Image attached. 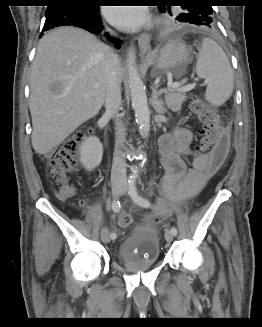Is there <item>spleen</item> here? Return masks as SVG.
I'll use <instances>...</instances> for the list:
<instances>
[{
    "instance_id": "obj_1",
    "label": "spleen",
    "mask_w": 262,
    "mask_h": 327,
    "mask_svg": "<svg viewBox=\"0 0 262 327\" xmlns=\"http://www.w3.org/2000/svg\"><path fill=\"white\" fill-rule=\"evenodd\" d=\"M196 73L207 82L205 99L211 105L220 106L230 98L234 87L232 68L225 52L214 40L203 39Z\"/></svg>"
}]
</instances>
